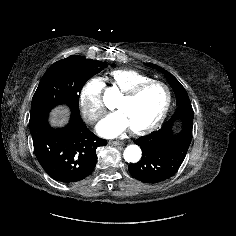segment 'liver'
<instances>
[{"mask_svg": "<svg viewBox=\"0 0 236 236\" xmlns=\"http://www.w3.org/2000/svg\"><path fill=\"white\" fill-rule=\"evenodd\" d=\"M52 124L62 126L68 121V110L63 107L56 108L52 111Z\"/></svg>", "mask_w": 236, "mask_h": 236, "instance_id": "liver-1", "label": "liver"}]
</instances>
